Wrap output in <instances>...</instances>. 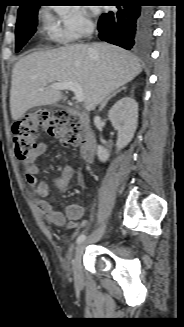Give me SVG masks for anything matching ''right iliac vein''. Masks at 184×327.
I'll list each match as a JSON object with an SVG mask.
<instances>
[{"mask_svg":"<svg viewBox=\"0 0 184 327\" xmlns=\"http://www.w3.org/2000/svg\"><path fill=\"white\" fill-rule=\"evenodd\" d=\"M106 229V224H102L89 238L85 243H81L75 254V259L73 262V273H74V280L77 285L83 283V273H82V256L84 253V249L86 244L93 243L98 241L104 234Z\"/></svg>","mask_w":184,"mask_h":327,"instance_id":"right-iliac-vein-1","label":"right iliac vein"}]
</instances>
